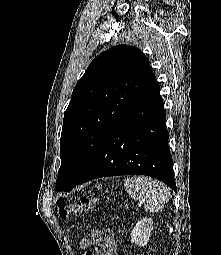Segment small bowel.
I'll return each instance as SVG.
<instances>
[{
    "label": "small bowel",
    "mask_w": 221,
    "mask_h": 255,
    "mask_svg": "<svg viewBox=\"0 0 221 255\" xmlns=\"http://www.w3.org/2000/svg\"><path fill=\"white\" fill-rule=\"evenodd\" d=\"M82 249L94 247L97 255H118L119 249L114 233L111 230L91 231L80 243Z\"/></svg>",
    "instance_id": "obj_1"
}]
</instances>
